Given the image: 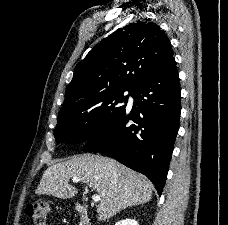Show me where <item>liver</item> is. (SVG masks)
I'll use <instances>...</instances> for the list:
<instances>
[{"mask_svg": "<svg viewBox=\"0 0 228 225\" xmlns=\"http://www.w3.org/2000/svg\"><path fill=\"white\" fill-rule=\"evenodd\" d=\"M79 177L101 197L97 205L98 221L111 219L122 209L144 205L152 199L153 185L144 175L123 167L114 159L99 155H76L71 161L56 163L46 169L35 191L36 195H52L57 199H73L77 189L69 179Z\"/></svg>", "mask_w": 228, "mask_h": 225, "instance_id": "1", "label": "liver"}]
</instances>
